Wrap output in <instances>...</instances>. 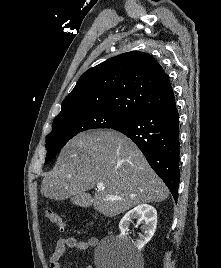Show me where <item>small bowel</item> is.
Returning <instances> with one entry per match:
<instances>
[{"label":"small bowel","mask_w":221,"mask_h":268,"mask_svg":"<svg viewBox=\"0 0 221 268\" xmlns=\"http://www.w3.org/2000/svg\"><path fill=\"white\" fill-rule=\"evenodd\" d=\"M97 245V239L95 237H89L87 239H77L75 237H66L58 240L54 251L49 257V268H61V258L67 249H74L79 252L86 251L89 248ZM86 268H93L91 265Z\"/></svg>","instance_id":"obj_1"}]
</instances>
